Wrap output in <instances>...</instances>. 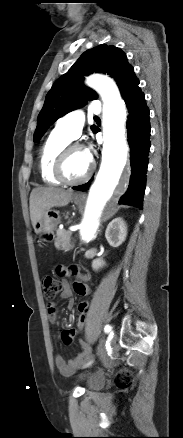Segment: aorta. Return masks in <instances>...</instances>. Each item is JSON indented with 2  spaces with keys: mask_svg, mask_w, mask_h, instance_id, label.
Listing matches in <instances>:
<instances>
[{
  "mask_svg": "<svg viewBox=\"0 0 183 438\" xmlns=\"http://www.w3.org/2000/svg\"><path fill=\"white\" fill-rule=\"evenodd\" d=\"M86 83L103 100L102 162L90 188L79 226L80 240L90 242L96 237L106 204L119 184L127 161L128 146L125 138V104L114 81L106 76L92 75Z\"/></svg>",
  "mask_w": 183,
  "mask_h": 438,
  "instance_id": "762f6f07",
  "label": "aorta"
}]
</instances>
